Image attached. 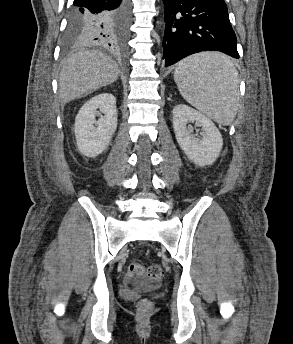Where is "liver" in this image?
I'll use <instances>...</instances> for the list:
<instances>
[{
    "label": "liver",
    "mask_w": 293,
    "mask_h": 344,
    "mask_svg": "<svg viewBox=\"0 0 293 344\" xmlns=\"http://www.w3.org/2000/svg\"><path fill=\"white\" fill-rule=\"evenodd\" d=\"M119 73L116 62L99 51L75 53L64 61L59 75L60 99L67 103L110 85Z\"/></svg>",
    "instance_id": "liver-1"
}]
</instances>
